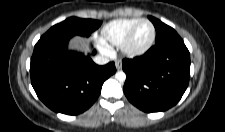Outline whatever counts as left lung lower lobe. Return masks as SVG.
Returning a JSON list of instances; mask_svg holds the SVG:
<instances>
[{
  "mask_svg": "<svg viewBox=\"0 0 225 132\" xmlns=\"http://www.w3.org/2000/svg\"><path fill=\"white\" fill-rule=\"evenodd\" d=\"M156 24L160 20L150 17ZM124 93L144 112L165 111L181 99L190 77V54L180 37L156 43L144 55L122 61Z\"/></svg>",
  "mask_w": 225,
  "mask_h": 132,
  "instance_id": "1",
  "label": "left lung lower lobe"
}]
</instances>
